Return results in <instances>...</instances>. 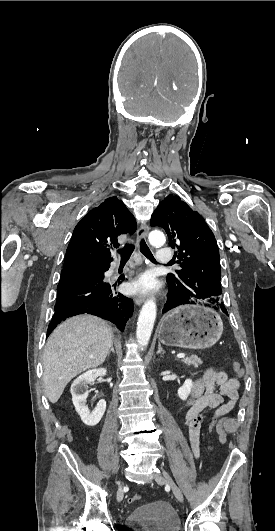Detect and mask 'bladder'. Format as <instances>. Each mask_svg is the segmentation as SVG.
<instances>
[{
    "instance_id": "obj_1",
    "label": "bladder",
    "mask_w": 275,
    "mask_h": 531,
    "mask_svg": "<svg viewBox=\"0 0 275 531\" xmlns=\"http://www.w3.org/2000/svg\"><path fill=\"white\" fill-rule=\"evenodd\" d=\"M127 526L134 531H181L179 516L172 505L164 501L134 507Z\"/></svg>"
}]
</instances>
